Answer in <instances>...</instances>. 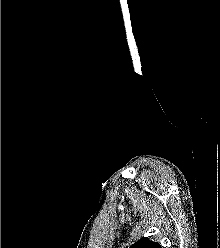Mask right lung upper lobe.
I'll return each instance as SVG.
<instances>
[{
  "label": "right lung upper lobe",
  "instance_id": "obj_1",
  "mask_svg": "<svg viewBox=\"0 0 220 248\" xmlns=\"http://www.w3.org/2000/svg\"><path fill=\"white\" fill-rule=\"evenodd\" d=\"M130 248H162L157 242L150 241L147 237L142 238L137 243L133 244Z\"/></svg>",
  "mask_w": 220,
  "mask_h": 248
}]
</instances>
